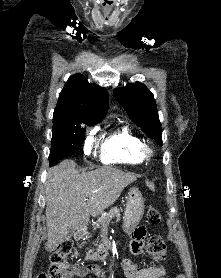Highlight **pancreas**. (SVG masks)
<instances>
[{
	"label": "pancreas",
	"mask_w": 221,
	"mask_h": 278,
	"mask_svg": "<svg viewBox=\"0 0 221 278\" xmlns=\"http://www.w3.org/2000/svg\"><path fill=\"white\" fill-rule=\"evenodd\" d=\"M116 218L117 221L120 220V211L117 207L112 208L109 213H102L101 217L92 223L93 227H108L110 221Z\"/></svg>",
	"instance_id": "pancreas-1"
}]
</instances>
